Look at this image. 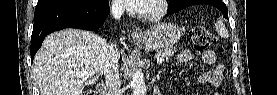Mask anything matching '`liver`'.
Listing matches in <instances>:
<instances>
[{"mask_svg": "<svg viewBox=\"0 0 277 95\" xmlns=\"http://www.w3.org/2000/svg\"><path fill=\"white\" fill-rule=\"evenodd\" d=\"M105 39L93 32L65 29L48 35L34 57L40 95H82L104 73ZM120 57V55H119ZM95 72L87 78L77 73Z\"/></svg>", "mask_w": 277, "mask_h": 95, "instance_id": "liver-1", "label": "liver"}]
</instances>
